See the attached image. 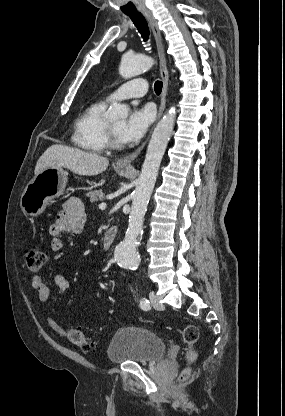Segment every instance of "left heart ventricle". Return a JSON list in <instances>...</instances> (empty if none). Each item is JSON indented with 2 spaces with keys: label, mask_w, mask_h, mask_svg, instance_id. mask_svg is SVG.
<instances>
[{
  "label": "left heart ventricle",
  "mask_w": 285,
  "mask_h": 416,
  "mask_svg": "<svg viewBox=\"0 0 285 416\" xmlns=\"http://www.w3.org/2000/svg\"><path fill=\"white\" fill-rule=\"evenodd\" d=\"M123 123H124L123 119L108 121V124L110 125L112 131L114 132V134L116 135L118 139H119V130L121 126L123 125Z\"/></svg>",
  "instance_id": "1"
}]
</instances>
